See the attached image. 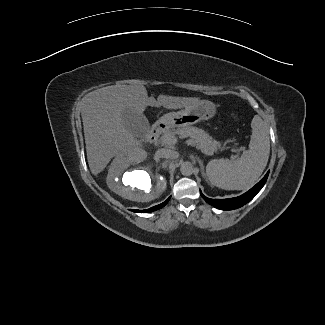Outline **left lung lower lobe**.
<instances>
[{
    "label": "left lung lower lobe",
    "instance_id": "1",
    "mask_svg": "<svg viewBox=\"0 0 325 325\" xmlns=\"http://www.w3.org/2000/svg\"><path fill=\"white\" fill-rule=\"evenodd\" d=\"M268 175H269V171L254 187H252L249 191H247L246 193L238 197L229 198V199H210L205 197L201 191L200 194L207 203H209L210 205L218 209L221 210L237 209L242 207L243 205H245L251 199L254 198V196L262 189V187L266 183Z\"/></svg>",
    "mask_w": 325,
    "mask_h": 325
}]
</instances>
